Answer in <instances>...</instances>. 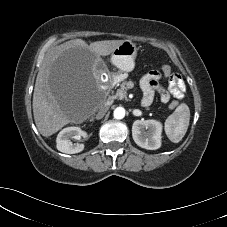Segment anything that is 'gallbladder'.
I'll return each instance as SVG.
<instances>
[{"label":"gallbladder","mask_w":227,"mask_h":227,"mask_svg":"<svg viewBox=\"0 0 227 227\" xmlns=\"http://www.w3.org/2000/svg\"><path fill=\"white\" fill-rule=\"evenodd\" d=\"M94 66H95L96 72L99 73V74L104 73L105 70H106L105 63L101 59L96 60L95 63H94Z\"/></svg>","instance_id":"obj_1"}]
</instances>
